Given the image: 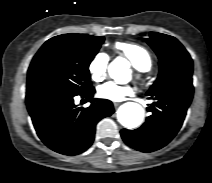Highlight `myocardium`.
<instances>
[{
    "label": "myocardium",
    "mask_w": 212,
    "mask_h": 183,
    "mask_svg": "<svg viewBox=\"0 0 212 183\" xmlns=\"http://www.w3.org/2000/svg\"><path fill=\"white\" fill-rule=\"evenodd\" d=\"M136 78H137V79H140V78H141V75H140L139 72L136 73Z\"/></svg>",
    "instance_id": "obj_1"
}]
</instances>
